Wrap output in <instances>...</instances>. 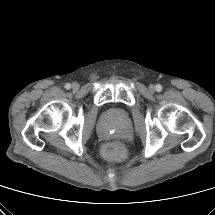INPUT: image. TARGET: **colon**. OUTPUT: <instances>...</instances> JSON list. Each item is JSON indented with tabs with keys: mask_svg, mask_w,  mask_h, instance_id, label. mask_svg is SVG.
<instances>
[{
	"mask_svg": "<svg viewBox=\"0 0 215 215\" xmlns=\"http://www.w3.org/2000/svg\"><path fill=\"white\" fill-rule=\"evenodd\" d=\"M103 154L109 159L122 160L126 156V150L122 144L111 142L104 146Z\"/></svg>",
	"mask_w": 215,
	"mask_h": 215,
	"instance_id": "5ec220e1",
	"label": "colon"
}]
</instances>
